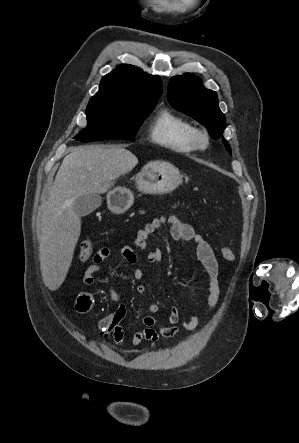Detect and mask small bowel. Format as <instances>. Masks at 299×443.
<instances>
[{
  "label": "small bowel",
  "instance_id": "1",
  "mask_svg": "<svg viewBox=\"0 0 299 443\" xmlns=\"http://www.w3.org/2000/svg\"><path fill=\"white\" fill-rule=\"evenodd\" d=\"M168 224L170 226L171 236L176 241H192L196 246V254L200 261L203 270L207 278L208 288V307L213 308L219 298V282H218V262L214 255V252L209 243L195 231V229L183 222L179 217L175 215L167 217H159L153 219L145 225V227L138 231L136 237L133 240V246L123 245L120 249V253L124 260L130 265H134L138 258L134 248L144 251L147 255V260L150 263H159L163 258L162 251L159 249L151 250L148 248V241L151 235L162 225ZM110 256V250L108 248H101L94 256L93 263L85 270L83 281L86 285H91L95 281V274L100 269V264L108 259ZM133 279L140 281L145 277V273L142 269H135L133 271ZM110 296L113 301L120 302L121 296L117 293L112 286L108 287ZM137 291L145 295L148 293V288L145 285H139ZM94 303L93 295L90 292L84 291L79 294L76 300V308L80 312L89 311ZM159 312V306L156 303H152L148 307V315L143 318L144 328L135 332L131 338L130 346L137 347L143 341H149L156 343L160 337L172 338L175 337L179 329L177 323L179 322L180 312L178 308L173 307L168 318V323L161 324L155 318V314ZM126 316V307L122 303H119L117 308L104 316L99 321V329L105 338H112L113 341L121 346L124 343L125 335L123 329V320ZM198 325V317L196 312H193L189 319L184 323V327L188 331H193Z\"/></svg>",
  "mask_w": 299,
  "mask_h": 443
}]
</instances>
